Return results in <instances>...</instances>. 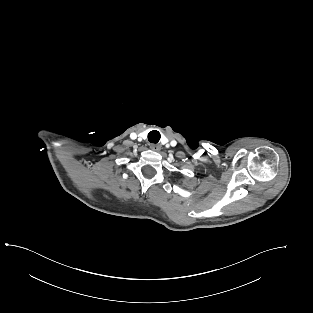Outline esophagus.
<instances>
[{"mask_svg":"<svg viewBox=\"0 0 313 313\" xmlns=\"http://www.w3.org/2000/svg\"><path fill=\"white\" fill-rule=\"evenodd\" d=\"M150 149L154 150V151H159L161 149L160 145L158 144H150L149 145Z\"/></svg>","mask_w":313,"mask_h":313,"instance_id":"34e87169","label":"esophagus"}]
</instances>
